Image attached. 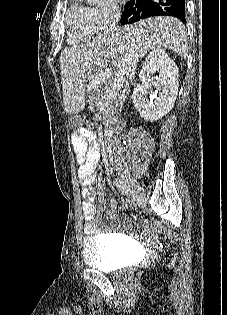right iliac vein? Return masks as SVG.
Instances as JSON below:
<instances>
[{
  "label": "right iliac vein",
  "mask_w": 227,
  "mask_h": 315,
  "mask_svg": "<svg viewBox=\"0 0 227 315\" xmlns=\"http://www.w3.org/2000/svg\"><path fill=\"white\" fill-rule=\"evenodd\" d=\"M119 175L121 179L132 188L133 194L137 200H141L144 197V191L141 185L131 177L127 171H120Z\"/></svg>",
  "instance_id": "obj_1"
}]
</instances>
